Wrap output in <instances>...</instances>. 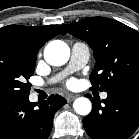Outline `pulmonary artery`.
<instances>
[{"mask_svg":"<svg viewBox=\"0 0 139 139\" xmlns=\"http://www.w3.org/2000/svg\"><path fill=\"white\" fill-rule=\"evenodd\" d=\"M89 59V47L86 43L75 42L71 49V58L67 68L60 74L56 75L51 79L52 82H55L69 73L81 69ZM107 93L103 92L101 98H107Z\"/></svg>","mask_w":139,"mask_h":139,"instance_id":"1","label":"pulmonary artery"}]
</instances>
